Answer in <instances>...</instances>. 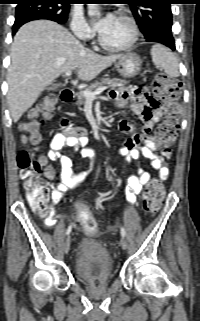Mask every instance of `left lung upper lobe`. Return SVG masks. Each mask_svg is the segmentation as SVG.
I'll return each instance as SVG.
<instances>
[{"mask_svg":"<svg viewBox=\"0 0 200 321\" xmlns=\"http://www.w3.org/2000/svg\"><path fill=\"white\" fill-rule=\"evenodd\" d=\"M146 40L172 36L173 0H125Z\"/></svg>","mask_w":200,"mask_h":321,"instance_id":"1","label":"left lung upper lobe"}]
</instances>
